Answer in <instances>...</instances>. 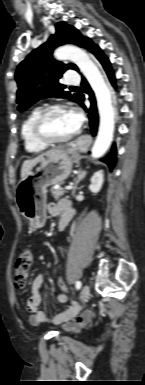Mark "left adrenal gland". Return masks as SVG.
<instances>
[{
  "mask_svg": "<svg viewBox=\"0 0 145 385\" xmlns=\"http://www.w3.org/2000/svg\"><path fill=\"white\" fill-rule=\"evenodd\" d=\"M86 173H87L86 171H83V170L79 169L78 174H77V178H76V180H75V186H74L73 191H72V196L75 195V192H76V190L78 189V184H79V182H80L82 179L85 178Z\"/></svg>",
  "mask_w": 145,
  "mask_h": 385,
  "instance_id": "left-adrenal-gland-1",
  "label": "left adrenal gland"
}]
</instances>
